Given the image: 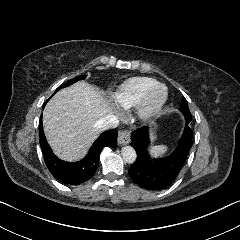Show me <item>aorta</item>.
<instances>
[{
    "mask_svg": "<svg viewBox=\"0 0 240 240\" xmlns=\"http://www.w3.org/2000/svg\"><path fill=\"white\" fill-rule=\"evenodd\" d=\"M121 155L127 163H133L136 159V151L130 145H125L122 147Z\"/></svg>",
    "mask_w": 240,
    "mask_h": 240,
    "instance_id": "aorta-1",
    "label": "aorta"
}]
</instances>
